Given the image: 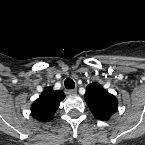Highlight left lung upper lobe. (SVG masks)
<instances>
[{
    "label": "left lung upper lobe",
    "mask_w": 145,
    "mask_h": 145,
    "mask_svg": "<svg viewBox=\"0 0 145 145\" xmlns=\"http://www.w3.org/2000/svg\"><path fill=\"white\" fill-rule=\"evenodd\" d=\"M85 101L93 115L99 120H109L117 111L118 101L99 83L89 84L86 88Z\"/></svg>",
    "instance_id": "left-lung-upper-lobe-1"
}]
</instances>
